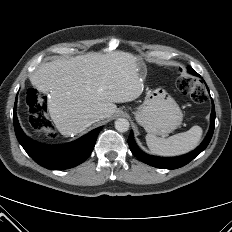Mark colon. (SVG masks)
Wrapping results in <instances>:
<instances>
[{
    "mask_svg": "<svg viewBox=\"0 0 232 232\" xmlns=\"http://www.w3.org/2000/svg\"><path fill=\"white\" fill-rule=\"evenodd\" d=\"M178 89L190 96V98L196 103H203L206 100V93L203 85L197 80L192 79L190 76L183 74L181 67L177 68ZM26 104L29 111V123L31 127L40 133H44L52 136L53 131L49 125L46 108L47 103L44 96L35 88H30L26 92Z\"/></svg>",
    "mask_w": 232,
    "mask_h": 232,
    "instance_id": "obj_1",
    "label": "colon"
}]
</instances>
